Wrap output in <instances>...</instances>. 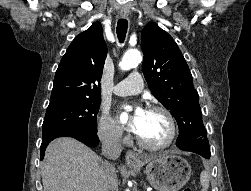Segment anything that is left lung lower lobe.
Instances as JSON below:
<instances>
[{
  "mask_svg": "<svg viewBox=\"0 0 251 191\" xmlns=\"http://www.w3.org/2000/svg\"><path fill=\"white\" fill-rule=\"evenodd\" d=\"M179 150L190 151L199 154L205 158H210V148L207 149L203 144L187 143L177 146Z\"/></svg>",
  "mask_w": 251,
  "mask_h": 191,
  "instance_id": "left-lung-lower-lobe-1",
  "label": "left lung lower lobe"
}]
</instances>
